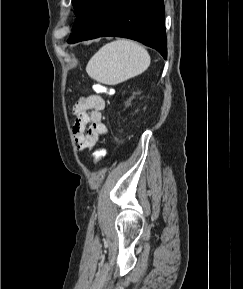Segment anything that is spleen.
Returning a JSON list of instances; mask_svg holds the SVG:
<instances>
[{
	"label": "spleen",
	"mask_w": 243,
	"mask_h": 289,
	"mask_svg": "<svg viewBox=\"0 0 243 289\" xmlns=\"http://www.w3.org/2000/svg\"><path fill=\"white\" fill-rule=\"evenodd\" d=\"M150 61L144 47L134 41L119 39L96 52L89 60L86 72L99 83L116 85L143 73Z\"/></svg>",
	"instance_id": "obj_1"
}]
</instances>
